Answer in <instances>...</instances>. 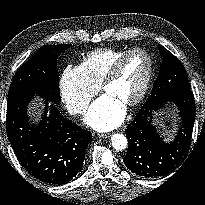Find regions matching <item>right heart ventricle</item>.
<instances>
[{"label": "right heart ventricle", "instance_id": "obj_1", "mask_svg": "<svg viewBox=\"0 0 205 205\" xmlns=\"http://www.w3.org/2000/svg\"><path fill=\"white\" fill-rule=\"evenodd\" d=\"M129 49H98L88 53L80 67L88 80L100 85L112 65Z\"/></svg>", "mask_w": 205, "mask_h": 205}]
</instances>
